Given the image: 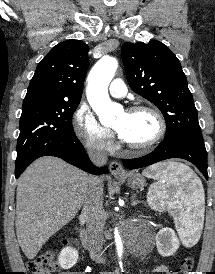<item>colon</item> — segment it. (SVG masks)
Instances as JSON below:
<instances>
[{
    "label": "colon",
    "mask_w": 215,
    "mask_h": 274,
    "mask_svg": "<svg viewBox=\"0 0 215 274\" xmlns=\"http://www.w3.org/2000/svg\"><path fill=\"white\" fill-rule=\"evenodd\" d=\"M67 244L68 242L64 241L62 244L56 245L52 250H49L46 254L30 263L29 268L33 274H54L58 270L55 255L62 246H66ZM193 264L192 257H185L181 261L180 267L173 274H190Z\"/></svg>",
    "instance_id": "colon-1"
}]
</instances>
